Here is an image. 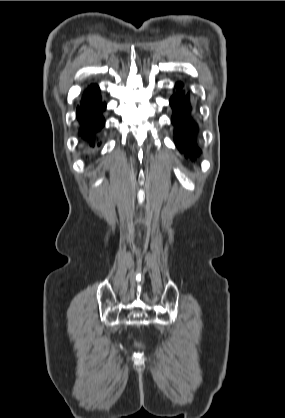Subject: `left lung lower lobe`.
<instances>
[{
	"mask_svg": "<svg viewBox=\"0 0 285 418\" xmlns=\"http://www.w3.org/2000/svg\"><path fill=\"white\" fill-rule=\"evenodd\" d=\"M176 91L170 99L173 109L172 124L174 125V141L186 158L193 159L201 153L196 143L198 126L194 122L193 104L190 92L183 90L181 82L175 85Z\"/></svg>",
	"mask_w": 285,
	"mask_h": 418,
	"instance_id": "left-lung-lower-lobe-1",
	"label": "left lung lower lobe"
}]
</instances>
